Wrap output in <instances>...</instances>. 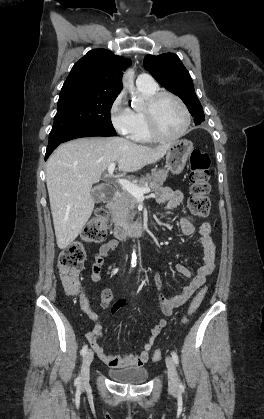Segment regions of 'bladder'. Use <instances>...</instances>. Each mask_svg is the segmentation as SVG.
Segmentation results:
<instances>
[{"label":"bladder","mask_w":264,"mask_h":419,"mask_svg":"<svg viewBox=\"0 0 264 419\" xmlns=\"http://www.w3.org/2000/svg\"><path fill=\"white\" fill-rule=\"evenodd\" d=\"M107 374L113 381L123 384H142L149 378L148 370L137 366L108 369Z\"/></svg>","instance_id":"1"}]
</instances>
